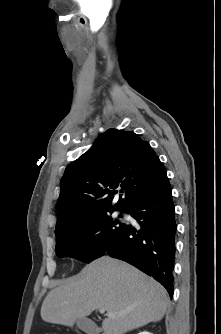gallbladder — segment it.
Returning a JSON list of instances; mask_svg holds the SVG:
<instances>
[{
    "mask_svg": "<svg viewBox=\"0 0 221 334\" xmlns=\"http://www.w3.org/2000/svg\"><path fill=\"white\" fill-rule=\"evenodd\" d=\"M77 327L88 333V334H98L99 328L96 326V324L88 319V318H80L76 321Z\"/></svg>",
    "mask_w": 221,
    "mask_h": 334,
    "instance_id": "gallbladder-1",
    "label": "gallbladder"
}]
</instances>
